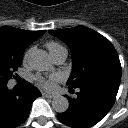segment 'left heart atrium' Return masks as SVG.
I'll use <instances>...</instances> for the list:
<instances>
[{
    "mask_svg": "<svg viewBox=\"0 0 128 128\" xmlns=\"http://www.w3.org/2000/svg\"><path fill=\"white\" fill-rule=\"evenodd\" d=\"M61 80V76L58 74L52 75L48 78H38L39 85L44 89H53L56 82Z\"/></svg>",
    "mask_w": 128,
    "mask_h": 128,
    "instance_id": "1",
    "label": "left heart atrium"
}]
</instances>
